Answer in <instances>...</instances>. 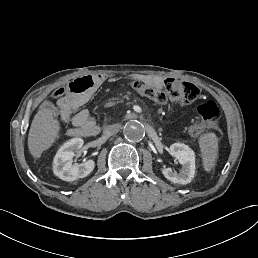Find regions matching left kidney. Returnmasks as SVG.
<instances>
[{"mask_svg":"<svg viewBox=\"0 0 258 258\" xmlns=\"http://www.w3.org/2000/svg\"><path fill=\"white\" fill-rule=\"evenodd\" d=\"M170 151L171 155L177 158L179 163L183 165V169L179 174H177L175 170L165 168L163 171L164 176L173 183H190L194 179L196 172L195 152L184 143L171 144Z\"/></svg>","mask_w":258,"mask_h":258,"instance_id":"obj_1","label":"left kidney"}]
</instances>
